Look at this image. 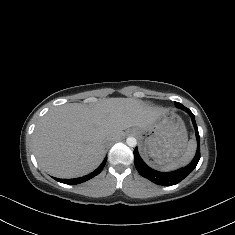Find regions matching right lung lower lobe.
Returning a JSON list of instances; mask_svg holds the SVG:
<instances>
[{
    "label": "right lung lower lobe",
    "instance_id": "98d812e1",
    "mask_svg": "<svg viewBox=\"0 0 235 235\" xmlns=\"http://www.w3.org/2000/svg\"><path fill=\"white\" fill-rule=\"evenodd\" d=\"M105 164H106V159L102 162V164L94 172H92L84 177H81V178H74V179L54 178V179L61 182V183H65V184H69V185L79 184V183L85 182V181L93 178L94 176L98 175L102 171V169L104 168Z\"/></svg>",
    "mask_w": 235,
    "mask_h": 235
}]
</instances>
